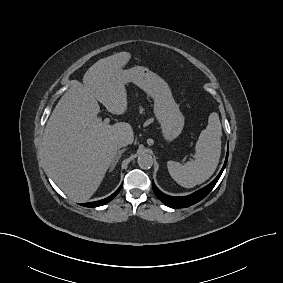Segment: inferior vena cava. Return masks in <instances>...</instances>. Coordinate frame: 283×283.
Wrapping results in <instances>:
<instances>
[{
    "label": "inferior vena cava",
    "instance_id": "inferior-vena-cava-1",
    "mask_svg": "<svg viewBox=\"0 0 283 283\" xmlns=\"http://www.w3.org/2000/svg\"><path fill=\"white\" fill-rule=\"evenodd\" d=\"M128 144H129L128 141L125 140V139H120V140H118V142H117V146H118L119 148L125 147V146H127Z\"/></svg>",
    "mask_w": 283,
    "mask_h": 283
}]
</instances>
